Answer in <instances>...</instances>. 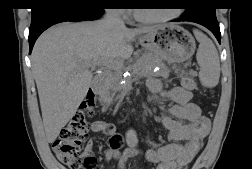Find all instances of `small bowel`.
Wrapping results in <instances>:
<instances>
[{"mask_svg": "<svg viewBox=\"0 0 252 169\" xmlns=\"http://www.w3.org/2000/svg\"><path fill=\"white\" fill-rule=\"evenodd\" d=\"M148 91L152 102L157 105L166 101L174 102L160 118L162 125L169 131L172 142L163 146L150 142L152 148L143 153L138 148L136 132L128 129L124 137L127 148L120 151L118 147H110L104 154L105 159L117 160L119 169H125L129 158L143 155L148 162L156 165V169H181L198 153L201 142L210 131V122L191 101L192 93L189 90L181 87L162 90L159 82L152 79L148 82ZM107 124L105 121H94L90 124V130L103 134ZM84 153L94 158L92 139L87 142Z\"/></svg>", "mask_w": 252, "mask_h": 169, "instance_id": "c3829d8e", "label": "small bowel"}]
</instances>
